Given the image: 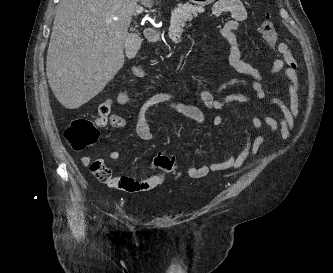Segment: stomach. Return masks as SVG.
Instances as JSON below:
<instances>
[{"label": "stomach", "instance_id": "1", "mask_svg": "<svg viewBox=\"0 0 333 273\" xmlns=\"http://www.w3.org/2000/svg\"><path fill=\"white\" fill-rule=\"evenodd\" d=\"M190 1L199 6H206L214 2L215 0H190Z\"/></svg>", "mask_w": 333, "mask_h": 273}]
</instances>
